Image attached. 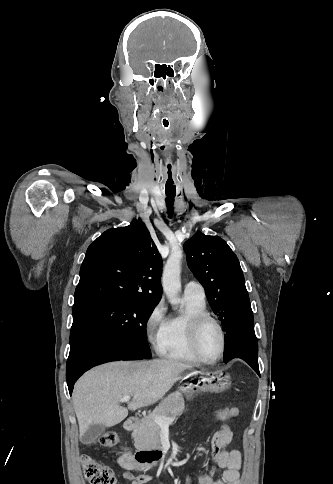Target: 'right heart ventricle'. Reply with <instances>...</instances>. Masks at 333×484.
Segmentation results:
<instances>
[{
  "label": "right heart ventricle",
  "mask_w": 333,
  "mask_h": 484,
  "mask_svg": "<svg viewBox=\"0 0 333 484\" xmlns=\"http://www.w3.org/2000/svg\"><path fill=\"white\" fill-rule=\"evenodd\" d=\"M185 309L182 313L166 319L159 353L166 359L188 364H200L202 361L194 354L189 340L191 320L201 314H207L206 302L191 297H184Z\"/></svg>",
  "instance_id": "e07e8e85"
}]
</instances>
